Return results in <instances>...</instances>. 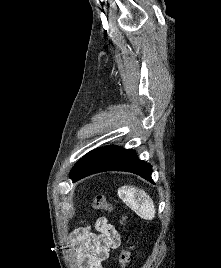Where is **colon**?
Here are the masks:
<instances>
[{"instance_id":"1","label":"colon","mask_w":221,"mask_h":268,"mask_svg":"<svg viewBox=\"0 0 221 268\" xmlns=\"http://www.w3.org/2000/svg\"><path fill=\"white\" fill-rule=\"evenodd\" d=\"M92 206L96 210L111 211L114 207L103 195H97L92 202ZM127 219L126 215H123L120 219V223L123 225ZM119 263L121 268H130L132 265V246L128 245L123 248L119 256Z\"/></svg>"}]
</instances>
